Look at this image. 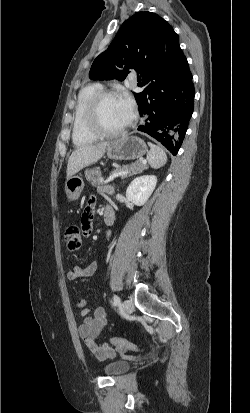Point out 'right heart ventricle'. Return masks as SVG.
Wrapping results in <instances>:
<instances>
[{
  "label": "right heart ventricle",
  "mask_w": 250,
  "mask_h": 413,
  "mask_svg": "<svg viewBox=\"0 0 250 413\" xmlns=\"http://www.w3.org/2000/svg\"><path fill=\"white\" fill-rule=\"evenodd\" d=\"M100 90L101 87L99 85H88L82 88L78 94L72 128V140L76 146H85L95 142L97 139L87 128L86 109L92 96Z\"/></svg>",
  "instance_id": "right-heart-ventricle-1"
}]
</instances>
